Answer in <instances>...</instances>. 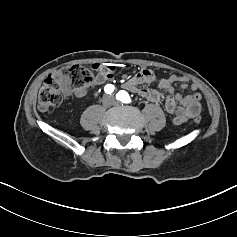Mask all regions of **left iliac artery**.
<instances>
[{
  "instance_id": "left-iliac-artery-1",
  "label": "left iliac artery",
  "mask_w": 237,
  "mask_h": 237,
  "mask_svg": "<svg viewBox=\"0 0 237 237\" xmlns=\"http://www.w3.org/2000/svg\"><path fill=\"white\" fill-rule=\"evenodd\" d=\"M116 99L120 100L123 103H130L131 102L129 94L124 90H121L116 94Z\"/></svg>"
}]
</instances>
